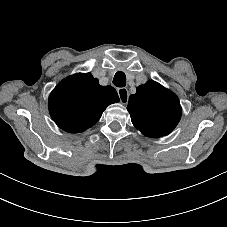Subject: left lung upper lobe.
I'll use <instances>...</instances> for the list:
<instances>
[{"label":"left lung upper lobe","mask_w":227,"mask_h":227,"mask_svg":"<svg viewBox=\"0 0 227 227\" xmlns=\"http://www.w3.org/2000/svg\"><path fill=\"white\" fill-rule=\"evenodd\" d=\"M127 109L133 125L151 138L169 134L181 118L177 96L153 80L137 88L129 97Z\"/></svg>","instance_id":"5c2ea615"}]
</instances>
